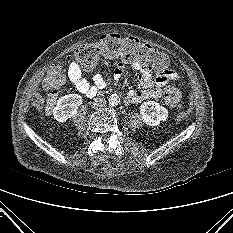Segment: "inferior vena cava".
Listing matches in <instances>:
<instances>
[{
    "instance_id": "1",
    "label": "inferior vena cava",
    "mask_w": 233,
    "mask_h": 233,
    "mask_svg": "<svg viewBox=\"0 0 233 233\" xmlns=\"http://www.w3.org/2000/svg\"><path fill=\"white\" fill-rule=\"evenodd\" d=\"M105 102L103 99L101 98H98V99H95V102L93 103V105L98 108V107H102L105 105Z\"/></svg>"
}]
</instances>
